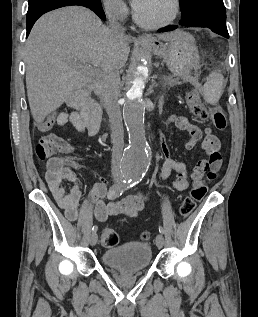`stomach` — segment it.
<instances>
[{
	"instance_id": "obj_1",
	"label": "stomach",
	"mask_w": 258,
	"mask_h": 317,
	"mask_svg": "<svg viewBox=\"0 0 258 317\" xmlns=\"http://www.w3.org/2000/svg\"><path fill=\"white\" fill-rule=\"evenodd\" d=\"M138 44L164 58L169 70L174 74H179V76L187 78L191 70L197 68L199 64V52L195 38L185 30H178L177 40L160 42V40H155L149 36L145 40H138Z\"/></svg>"
}]
</instances>
